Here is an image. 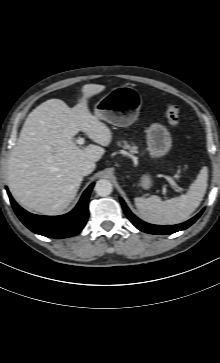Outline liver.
<instances>
[{
	"label": "liver",
	"mask_w": 220,
	"mask_h": 363,
	"mask_svg": "<svg viewBox=\"0 0 220 363\" xmlns=\"http://www.w3.org/2000/svg\"><path fill=\"white\" fill-rule=\"evenodd\" d=\"M105 88L86 84L75 107L50 99L30 112L7 167L8 186L19 204L39 214L56 215L75 199L83 181L81 165L99 161L105 150L94 144L80 148L73 137L82 131L101 146L112 140L111 130L88 108V99Z\"/></svg>",
	"instance_id": "6515ba94"
}]
</instances>
